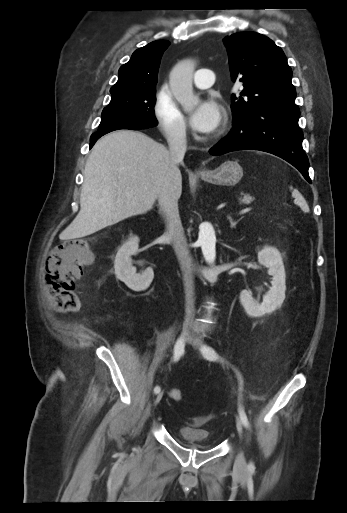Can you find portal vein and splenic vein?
Wrapping results in <instances>:
<instances>
[{
  "instance_id": "obj_1",
  "label": "portal vein and splenic vein",
  "mask_w": 347,
  "mask_h": 513,
  "mask_svg": "<svg viewBox=\"0 0 347 513\" xmlns=\"http://www.w3.org/2000/svg\"><path fill=\"white\" fill-rule=\"evenodd\" d=\"M251 210H252V208H250V207H249V208L242 209V210L240 211V214H247V213H249Z\"/></svg>"
}]
</instances>
